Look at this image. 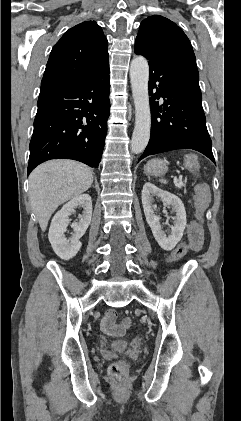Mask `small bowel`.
<instances>
[{
  "label": "small bowel",
  "mask_w": 241,
  "mask_h": 421,
  "mask_svg": "<svg viewBox=\"0 0 241 421\" xmlns=\"http://www.w3.org/2000/svg\"><path fill=\"white\" fill-rule=\"evenodd\" d=\"M189 237V248L191 250H200L204 244V233L199 224L193 222L188 227ZM102 330L109 335H122L124 334L126 327L122 324L116 323V312L113 309H109L104 314L101 320Z\"/></svg>",
  "instance_id": "obj_1"
}]
</instances>
